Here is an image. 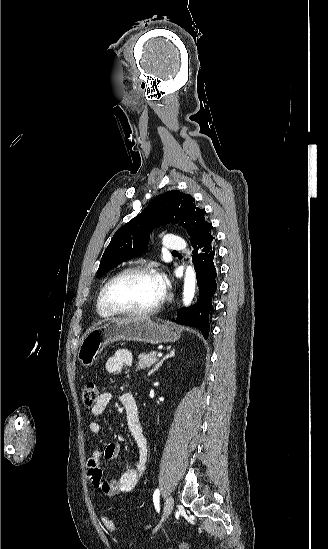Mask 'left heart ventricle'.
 <instances>
[{"mask_svg":"<svg viewBox=\"0 0 328 549\" xmlns=\"http://www.w3.org/2000/svg\"><path fill=\"white\" fill-rule=\"evenodd\" d=\"M162 294L157 274L138 271L118 280L109 291V300L111 306L118 310L145 309L159 300Z\"/></svg>","mask_w":328,"mask_h":549,"instance_id":"obj_1","label":"left heart ventricle"}]
</instances>
